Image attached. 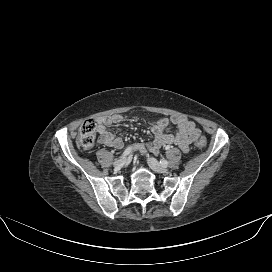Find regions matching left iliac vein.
Segmentation results:
<instances>
[{
	"mask_svg": "<svg viewBox=\"0 0 272 272\" xmlns=\"http://www.w3.org/2000/svg\"><path fill=\"white\" fill-rule=\"evenodd\" d=\"M148 164L150 168L157 173H167L168 169L161 165L155 158H149Z\"/></svg>",
	"mask_w": 272,
	"mask_h": 272,
	"instance_id": "obj_1",
	"label": "left iliac vein"
}]
</instances>
